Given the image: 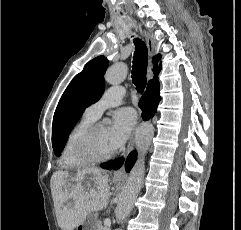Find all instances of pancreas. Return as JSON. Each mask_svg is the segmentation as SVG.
<instances>
[{
	"label": "pancreas",
	"mask_w": 241,
	"mask_h": 230,
	"mask_svg": "<svg viewBox=\"0 0 241 230\" xmlns=\"http://www.w3.org/2000/svg\"><path fill=\"white\" fill-rule=\"evenodd\" d=\"M96 230H109L107 227L103 226L101 222L97 224Z\"/></svg>",
	"instance_id": "pancreas-1"
}]
</instances>
